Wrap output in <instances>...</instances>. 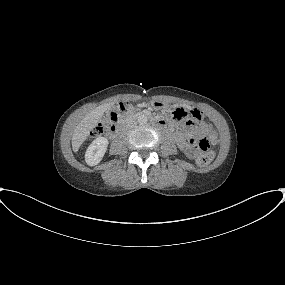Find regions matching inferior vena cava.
I'll return each instance as SVG.
<instances>
[{
  "instance_id": "602c4592",
  "label": "inferior vena cava",
  "mask_w": 285,
  "mask_h": 285,
  "mask_svg": "<svg viewBox=\"0 0 285 285\" xmlns=\"http://www.w3.org/2000/svg\"><path fill=\"white\" fill-rule=\"evenodd\" d=\"M135 125V123L134 124H131V125H128V128H131V127H133Z\"/></svg>"
}]
</instances>
